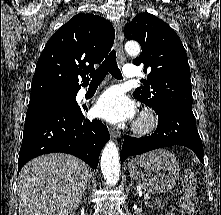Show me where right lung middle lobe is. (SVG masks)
Segmentation results:
<instances>
[{
  "mask_svg": "<svg viewBox=\"0 0 221 215\" xmlns=\"http://www.w3.org/2000/svg\"><path fill=\"white\" fill-rule=\"evenodd\" d=\"M76 95L77 93L52 95L38 100L30 101L28 111L52 106L77 105V102L75 100Z\"/></svg>",
  "mask_w": 221,
  "mask_h": 215,
  "instance_id": "obj_1",
  "label": "right lung middle lobe"
}]
</instances>
